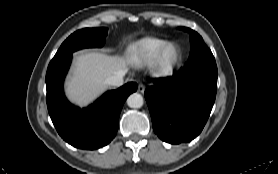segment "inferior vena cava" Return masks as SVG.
Returning <instances> with one entry per match:
<instances>
[{
  "label": "inferior vena cava",
  "instance_id": "obj_1",
  "mask_svg": "<svg viewBox=\"0 0 278 174\" xmlns=\"http://www.w3.org/2000/svg\"><path fill=\"white\" fill-rule=\"evenodd\" d=\"M125 75V71H119L116 74L110 76L106 80V84L119 87L123 84V77Z\"/></svg>",
  "mask_w": 278,
  "mask_h": 174
}]
</instances>
